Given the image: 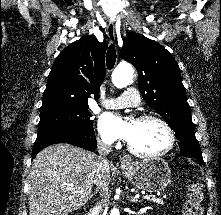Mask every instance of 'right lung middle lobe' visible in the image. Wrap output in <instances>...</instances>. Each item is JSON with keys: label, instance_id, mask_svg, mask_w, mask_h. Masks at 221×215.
Returning <instances> with one entry per match:
<instances>
[{"label": "right lung middle lobe", "instance_id": "1", "mask_svg": "<svg viewBox=\"0 0 221 215\" xmlns=\"http://www.w3.org/2000/svg\"><path fill=\"white\" fill-rule=\"evenodd\" d=\"M88 106L40 115L38 134L63 129H84L92 126Z\"/></svg>", "mask_w": 221, "mask_h": 215}]
</instances>
